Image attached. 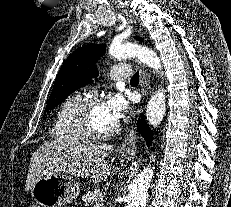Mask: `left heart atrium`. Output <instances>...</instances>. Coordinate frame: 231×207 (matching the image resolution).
Listing matches in <instances>:
<instances>
[{"instance_id":"39dd6f15","label":"left heart atrium","mask_w":231,"mask_h":207,"mask_svg":"<svg viewBox=\"0 0 231 207\" xmlns=\"http://www.w3.org/2000/svg\"><path fill=\"white\" fill-rule=\"evenodd\" d=\"M103 104L107 114L115 123L126 116L129 108L128 101L119 93L109 94Z\"/></svg>"}]
</instances>
